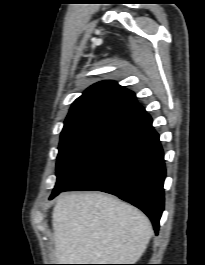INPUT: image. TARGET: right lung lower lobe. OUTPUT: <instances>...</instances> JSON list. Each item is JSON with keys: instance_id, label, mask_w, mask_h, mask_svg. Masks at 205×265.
<instances>
[{"instance_id": "98d812e1", "label": "right lung lower lobe", "mask_w": 205, "mask_h": 265, "mask_svg": "<svg viewBox=\"0 0 205 265\" xmlns=\"http://www.w3.org/2000/svg\"><path fill=\"white\" fill-rule=\"evenodd\" d=\"M164 153L152 119L145 113L126 128L62 191L97 190L141 209L156 234L164 209Z\"/></svg>"}]
</instances>
